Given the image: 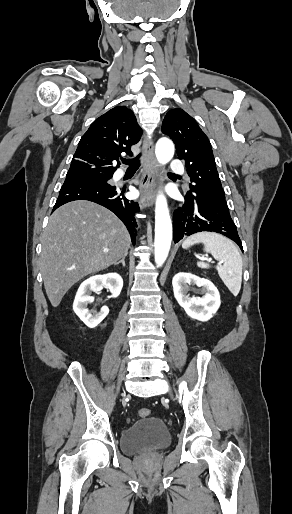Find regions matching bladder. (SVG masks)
Instances as JSON below:
<instances>
[{
  "label": "bladder",
  "instance_id": "31cf9c89",
  "mask_svg": "<svg viewBox=\"0 0 292 514\" xmlns=\"http://www.w3.org/2000/svg\"><path fill=\"white\" fill-rule=\"evenodd\" d=\"M171 434L164 421L155 416L141 418L123 430L120 446L124 453L132 455L166 447Z\"/></svg>",
  "mask_w": 292,
  "mask_h": 514
}]
</instances>
